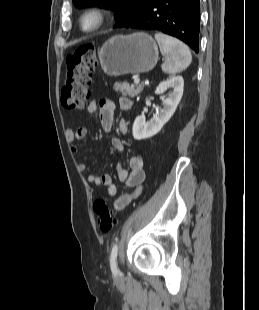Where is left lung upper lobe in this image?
<instances>
[{
    "label": "left lung upper lobe",
    "mask_w": 259,
    "mask_h": 310,
    "mask_svg": "<svg viewBox=\"0 0 259 310\" xmlns=\"http://www.w3.org/2000/svg\"><path fill=\"white\" fill-rule=\"evenodd\" d=\"M152 0H73L78 8L98 6L115 11L116 24L118 27L121 23L139 12L147 6Z\"/></svg>",
    "instance_id": "1"
}]
</instances>
